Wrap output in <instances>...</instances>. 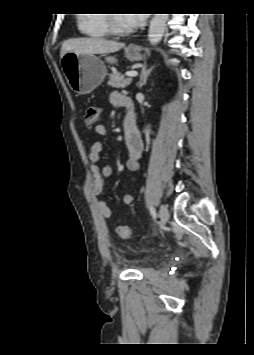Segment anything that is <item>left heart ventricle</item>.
I'll return each mask as SVG.
<instances>
[{"label": "left heart ventricle", "instance_id": "b2bd125f", "mask_svg": "<svg viewBox=\"0 0 254 355\" xmlns=\"http://www.w3.org/2000/svg\"><path fill=\"white\" fill-rule=\"evenodd\" d=\"M117 21L122 28H130L131 26L129 23L126 21L125 17L122 15H116Z\"/></svg>", "mask_w": 254, "mask_h": 355}]
</instances>
